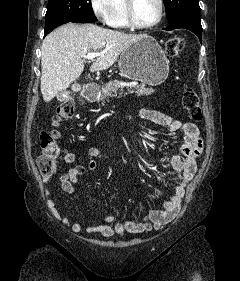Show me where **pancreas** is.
<instances>
[{"label": "pancreas", "mask_w": 240, "mask_h": 281, "mask_svg": "<svg viewBox=\"0 0 240 281\" xmlns=\"http://www.w3.org/2000/svg\"><path fill=\"white\" fill-rule=\"evenodd\" d=\"M123 83L121 81H111L100 89L99 101L104 105L109 98L122 95ZM134 89L128 90L130 94L135 93L137 96H148L154 93L153 88H148L144 84L136 85ZM126 94V93H125Z\"/></svg>", "instance_id": "cf45deb5"}]
</instances>
